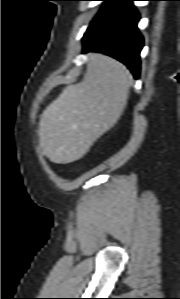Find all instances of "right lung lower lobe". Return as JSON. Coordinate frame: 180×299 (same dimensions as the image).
Listing matches in <instances>:
<instances>
[{
  "instance_id": "1",
  "label": "right lung lower lobe",
  "mask_w": 180,
  "mask_h": 299,
  "mask_svg": "<svg viewBox=\"0 0 180 299\" xmlns=\"http://www.w3.org/2000/svg\"><path fill=\"white\" fill-rule=\"evenodd\" d=\"M135 0H109L90 23L83 37V53L101 52L124 63L139 77L143 37L138 31Z\"/></svg>"
}]
</instances>
